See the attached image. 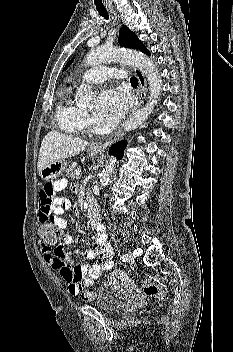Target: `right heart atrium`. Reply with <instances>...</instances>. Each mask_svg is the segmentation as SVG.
<instances>
[{
	"label": "right heart atrium",
	"instance_id": "d8ad5b80",
	"mask_svg": "<svg viewBox=\"0 0 233 352\" xmlns=\"http://www.w3.org/2000/svg\"><path fill=\"white\" fill-rule=\"evenodd\" d=\"M90 116L87 113H84V122L85 125H88L90 123Z\"/></svg>",
	"mask_w": 233,
	"mask_h": 352
}]
</instances>
